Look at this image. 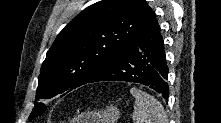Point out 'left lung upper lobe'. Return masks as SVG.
Returning a JSON list of instances; mask_svg holds the SVG:
<instances>
[{"instance_id":"5c2ea615","label":"left lung upper lobe","mask_w":221,"mask_h":123,"mask_svg":"<svg viewBox=\"0 0 221 123\" xmlns=\"http://www.w3.org/2000/svg\"><path fill=\"white\" fill-rule=\"evenodd\" d=\"M154 20L145 0H102L83 10L63 28L47 52L29 119L46 110L41 103L44 99L86 84Z\"/></svg>"}]
</instances>
